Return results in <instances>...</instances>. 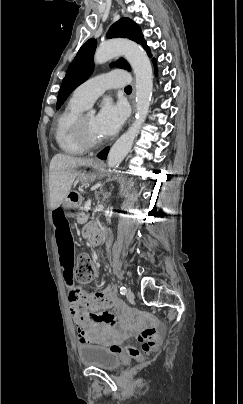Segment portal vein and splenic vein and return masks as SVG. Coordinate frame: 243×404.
<instances>
[{
    "label": "portal vein and splenic vein",
    "mask_w": 243,
    "mask_h": 404,
    "mask_svg": "<svg viewBox=\"0 0 243 404\" xmlns=\"http://www.w3.org/2000/svg\"><path fill=\"white\" fill-rule=\"evenodd\" d=\"M91 208V200H88V202H86L85 206H84V210H86V212H88V210H90Z\"/></svg>",
    "instance_id": "18ae733b"
}]
</instances>
